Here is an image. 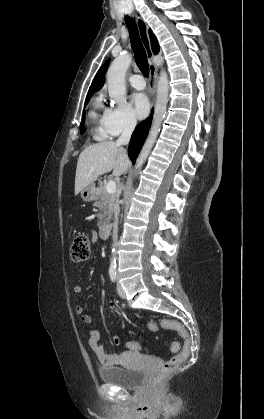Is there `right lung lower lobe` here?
<instances>
[{
    "instance_id": "98d812e1",
    "label": "right lung lower lobe",
    "mask_w": 264,
    "mask_h": 419,
    "mask_svg": "<svg viewBox=\"0 0 264 419\" xmlns=\"http://www.w3.org/2000/svg\"><path fill=\"white\" fill-rule=\"evenodd\" d=\"M151 122H152V115L148 119L140 122L135 128L131 136V140L128 147V154L133 163L135 162V159L137 158L144 144V141L149 132V128L151 126Z\"/></svg>"
}]
</instances>
